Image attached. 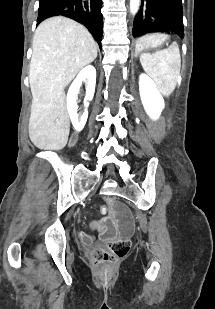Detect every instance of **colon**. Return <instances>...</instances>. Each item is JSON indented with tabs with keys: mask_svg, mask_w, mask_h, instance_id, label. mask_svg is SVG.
Instances as JSON below:
<instances>
[{
	"mask_svg": "<svg viewBox=\"0 0 215 309\" xmlns=\"http://www.w3.org/2000/svg\"><path fill=\"white\" fill-rule=\"evenodd\" d=\"M128 242L125 240H113L99 244L94 250V256L100 260L114 259L123 255L128 250Z\"/></svg>",
	"mask_w": 215,
	"mask_h": 309,
	"instance_id": "colon-1",
	"label": "colon"
}]
</instances>
